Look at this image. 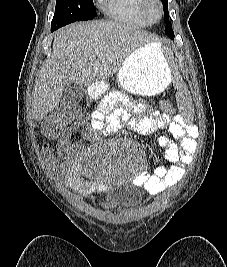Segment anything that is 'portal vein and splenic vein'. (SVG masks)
Returning <instances> with one entry per match:
<instances>
[{
	"label": "portal vein and splenic vein",
	"mask_w": 227,
	"mask_h": 267,
	"mask_svg": "<svg viewBox=\"0 0 227 267\" xmlns=\"http://www.w3.org/2000/svg\"><path fill=\"white\" fill-rule=\"evenodd\" d=\"M90 60H92V61H93V60H94V58H93V57H91V58H90Z\"/></svg>",
	"instance_id": "18ae733b"
}]
</instances>
